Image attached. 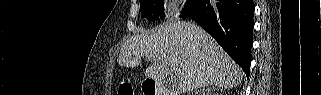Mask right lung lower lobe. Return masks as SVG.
I'll return each mask as SVG.
<instances>
[{"instance_id":"obj_1","label":"right lung lower lobe","mask_w":321,"mask_h":95,"mask_svg":"<svg viewBox=\"0 0 321 95\" xmlns=\"http://www.w3.org/2000/svg\"><path fill=\"white\" fill-rule=\"evenodd\" d=\"M253 0H204L190 15L245 71L250 74L252 32L254 28Z\"/></svg>"}]
</instances>
